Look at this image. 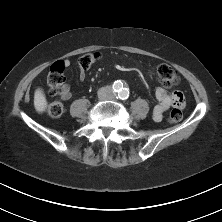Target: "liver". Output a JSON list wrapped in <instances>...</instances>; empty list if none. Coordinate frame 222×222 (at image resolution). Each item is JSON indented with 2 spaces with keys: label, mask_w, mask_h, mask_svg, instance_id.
<instances>
[{
  "label": "liver",
  "mask_w": 222,
  "mask_h": 222,
  "mask_svg": "<svg viewBox=\"0 0 222 222\" xmlns=\"http://www.w3.org/2000/svg\"><path fill=\"white\" fill-rule=\"evenodd\" d=\"M34 107L39 113L44 112L47 107V100L41 88H37L34 93Z\"/></svg>",
  "instance_id": "1"
}]
</instances>
